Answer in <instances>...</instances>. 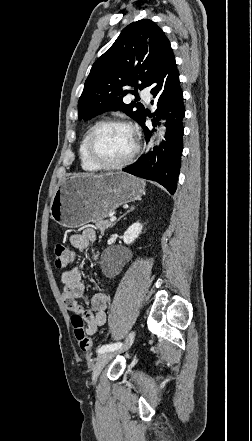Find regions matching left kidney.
<instances>
[{"instance_id":"left-kidney-1","label":"left kidney","mask_w":252,"mask_h":441,"mask_svg":"<svg viewBox=\"0 0 252 441\" xmlns=\"http://www.w3.org/2000/svg\"><path fill=\"white\" fill-rule=\"evenodd\" d=\"M143 229V225L139 222L132 224L124 233L123 241L125 244L129 245L139 237Z\"/></svg>"}]
</instances>
